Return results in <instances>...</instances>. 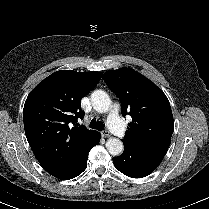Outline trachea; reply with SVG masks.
Returning <instances> with one entry per match:
<instances>
[{
    "instance_id": "1",
    "label": "trachea",
    "mask_w": 209,
    "mask_h": 209,
    "mask_svg": "<svg viewBox=\"0 0 209 209\" xmlns=\"http://www.w3.org/2000/svg\"><path fill=\"white\" fill-rule=\"evenodd\" d=\"M104 127H105V125L101 121H96L93 119L90 122V128L97 129L98 131H102L104 129Z\"/></svg>"
}]
</instances>
